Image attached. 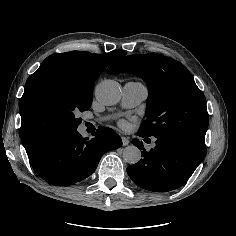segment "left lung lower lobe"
<instances>
[{
  "mask_svg": "<svg viewBox=\"0 0 236 236\" xmlns=\"http://www.w3.org/2000/svg\"><path fill=\"white\" fill-rule=\"evenodd\" d=\"M154 137L156 146L150 151L143 148L139 139L132 140L143 151L142 159L127 167L128 175L139 187L149 191L167 192L177 189L190 178L204 159L205 143L171 133H161ZM147 139H144L145 142Z\"/></svg>",
  "mask_w": 236,
  "mask_h": 236,
  "instance_id": "1",
  "label": "left lung lower lobe"
}]
</instances>
